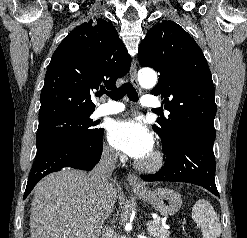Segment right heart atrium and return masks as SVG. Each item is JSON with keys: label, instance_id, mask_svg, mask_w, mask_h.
I'll use <instances>...</instances> for the list:
<instances>
[{"label": "right heart atrium", "instance_id": "d8ad5b80", "mask_svg": "<svg viewBox=\"0 0 247 238\" xmlns=\"http://www.w3.org/2000/svg\"><path fill=\"white\" fill-rule=\"evenodd\" d=\"M103 157L108 161H114L117 158V153L113 148L105 146L103 149Z\"/></svg>", "mask_w": 247, "mask_h": 238}]
</instances>
